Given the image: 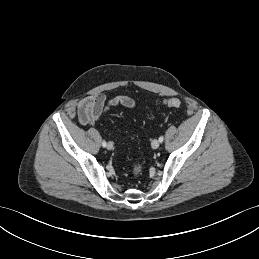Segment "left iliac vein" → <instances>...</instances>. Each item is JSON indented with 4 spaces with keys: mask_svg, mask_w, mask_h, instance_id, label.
I'll return each mask as SVG.
<instances>
[{
    "mask_svg": "<svg viewBox=\"0 0 259 259\" xmlns=\"http://www.w3.org/2000/svg\"><path fill=\"white\" fill-rule=\"evenodd\" d=\"M151 146L153 149H157L160 146V141L157 139L153 140Z\"/></svg>",
    "mask_w": 259,
    "mask_h": 259,
    "instance_id": "left-iliac-vein-1",
    "label": "left iliac vein"
}]
</instances>
